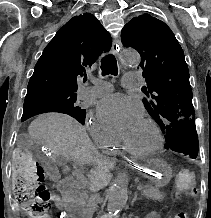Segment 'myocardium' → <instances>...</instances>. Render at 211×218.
Listing matches in <instances>:
<instances>
[{
  "label": "myocardium",
  "mask_w": 211,
  "mask_h": 218,
  "mask_svg": "<svg viewBox=\"0 0 211 218\" xmlns=\"http://www.w3.org/2000/svg\"><path fill=\"white\" fill-rule=\"evenodd\" d=\"M145 122L152 128L155 137H156V143L155 145L148 151H139V150H135L130 148L125 141L122 142V149L129 154L130 156L137 158V159H146L149 157H152L154 155L157 154V152L160 150V148L162 147V143H163V136L161 133V130L159 128V126L157 125V123L148 118L145 120Z\"/></svg>",
  "instance_id": "obj_1"
}]
</instances>
